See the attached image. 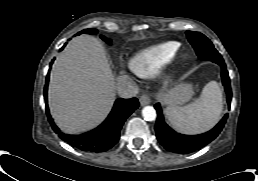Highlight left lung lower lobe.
Wrapping results in <instances>:
<instances>
[{"label":"left lung lower lobe","instance_id":"0a47b994","mask_svg":"<svg viewBox=\"0 0 258 181\" xmlns=\"http://www.w3.org/2000/svg\"><path fill=\"white\" fill-rule=\"evenodd\" d=\"M219 65L222 68V84L227 94L228 106L230 107L232 93L228 71L224 62L219 63ZM155 108L158 114L155 131L159 143L167 151L180 154L192 153L209 144L222 131L228 117V114H226L212 130L204 134L189 136L176 133L165 123L159 103L155 105Z\"/></svg>","mask_w":258,"mask_h":181}]
</instances>
